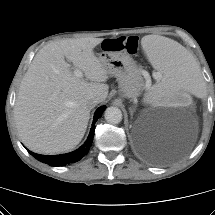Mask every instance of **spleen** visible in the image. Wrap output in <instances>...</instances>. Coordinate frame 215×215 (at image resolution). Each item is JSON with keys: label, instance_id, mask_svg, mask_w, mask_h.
Here are the masks:
<instances>
[{"label": "spleen", "instance_id": "obj_1", "mask_svg": "<svg viewBox=\"0 0 215 215\" xmlns=\"http://www.w3.org/2000/svg\"><path fill=\"white\" fill-rule=\"evenodd\" d=\"M141 44L161 77V81L153 85L145 93V97L151 93L157 96L172 93H182L187 97L202 95L204 80L198 74L200 61L194 53L186 51L177 43L156 36L144 37Z\"/></svg>", "mask_w": 215, "mask_h": 215}]
</instances>
